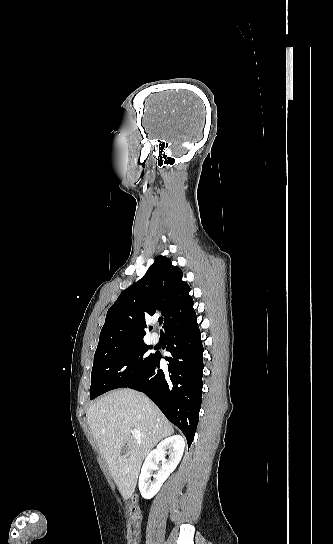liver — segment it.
Here are the masks:
<instances>
[{
  "mask_svg": "<svg viewBox=\"0 0 333 544\" xmlns=\"http://www.w3.org/2000/svg\"><path fill=\"white\" fill-rule=\"evenodd\" d=\"M89 428L118 489L132 496L145 456L174 430L162 412L144 394L121 388L109 392L88 408ZM138 429L143 437L131 436ZM128 453L121 455V449Z\"/></svg>",
  "mask_w": 333,
  "mask_h": 544,
  "instance_id": "6515ba94",
  "label": "liver"
}]
</instances>
